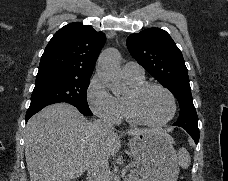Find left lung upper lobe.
I'll use <instances>...</instances> for the list:
<instances>
[{"mask_svg":"<svg viewBox=\"0 0 228 181\" xmlns=\"http://www.w3.org/2000/svg\"><path fill=\"white\" fill-rule=\"evenodd\" d=\"M127 47L132 57L178 100L180 115L173 125L185 130L198 129L188 70L181 51L170 35L165 30L149 28L130 35Z\"/></svg>","mask_w":228,"mask_h":181,"instance_id":"left-lung-upper-lobe-1","label":"left lung upper lobe"}]
</instances>
